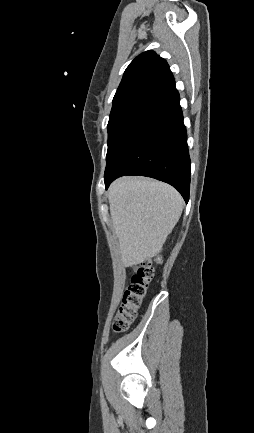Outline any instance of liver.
Here are the masks:
<instances>
[{
    "mask_svg": "<svg viewBox=\"0 0 254 433\" xmlns=\"http://www.w3.org/2000/svg\"><path fill=\"white\" fill-rule=\"evenodd\" d=\"M108 198L122 264L126 267L160 253L183 210V199L172 186L145 178L116 180Z\"/></svg>",
    "mask_w": 254,
    "mask_h": 433,
    "instance_id": "obj_1",
    "label": "liver"
}]
</instances>
